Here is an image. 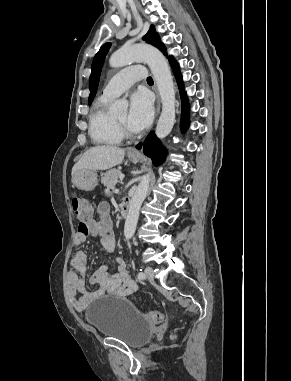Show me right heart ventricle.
Here are the masks:
<instances>
[{"label": "right heart ventricle", "mask_w": 291, "mask_h": 381, "mask_svg": "<svg viewBox=\"0 0 291 381\" xmlns=\"http://www.w3.org/2000/svg\"><path fill=\"white\" fill-rule=\"evenodd\" d=\"M111 100L104 96L99 97L89 114V135L97 145H118L123 140L115 125L114 117L108 111Z\"/></svg>", "instance_id": "e07e8e85"}]
</instances>
